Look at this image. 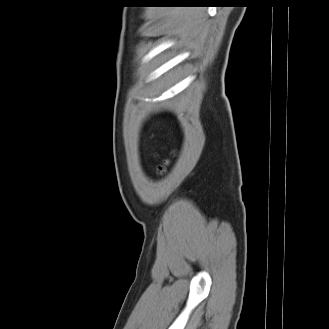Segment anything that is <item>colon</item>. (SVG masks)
<instances>
[{
	"label": "colon",
	"instance_id": "1",
	"mask_svg": "<svg viewBox=\"0 0 329 329\" xmlns=\"http://www.w3.org/2000/svg\"><path fill=\"white\" fill-rule=\"evenodd\" d=\"M157 171H158L159 174L165 173V171H166L165 165L164 164L163 165H160L158 167Z\"/></svg>",
	"mask_w": 329,
	"mask_h": 329
}]
</instances>
